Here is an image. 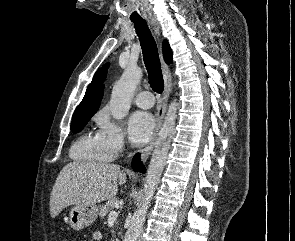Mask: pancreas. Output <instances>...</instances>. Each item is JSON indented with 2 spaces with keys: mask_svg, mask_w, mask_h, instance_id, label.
<instances>
[{
  "mask_svg": "<svg viewBox=\"0 0 295 241\" xmlns=\"http://www.w3.org/2000/svg\"><path fill=\"white\" fill-rule=\"evenodd\" d=\"M116 200H109L104 206L100 208L99 216L101 218L105 217L109 212H111L115 208Z\"/></svg>",
  "mask_w": 295,
  "mask_h": 241,
  "instance_id": "obj_1",
  "label": "pancreas"
}]
</instances>
